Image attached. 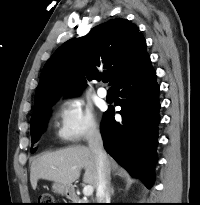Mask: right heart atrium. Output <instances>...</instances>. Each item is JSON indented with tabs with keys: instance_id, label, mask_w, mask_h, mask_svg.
<instances>
[{
	"instance_id": "1",
	"label": "right heart atrium",
	"mask_w": 200,
	"mask_h": 205,
	"mask_svg": "<svg viewBox=\"0 0 200 205\" xmlns=\"http://www.w3.org/2000/svg\"><path fill=\"white\" fill-rule=\"evenodd\" d=\"M98 124L93 111L78 98H70L58 109L57 137L65 144L78 143L95 135Z\"/></svg>"
}]
</instances>
